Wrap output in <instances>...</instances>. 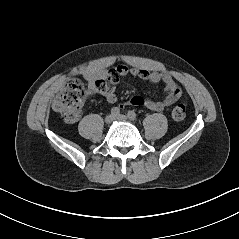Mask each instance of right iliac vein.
Wrapping results in <instances>:
<instances>
[{"label":"right iliac vein","mask_w":239,"mask_h":239,"mask_svg":"<svg viewBox=\"0 0 239 239\" xmlns=\"http://www.w3.org/2000/svg\"><path fill=\"white\" fill-rule=\"evenodd\" d=\"M113 119H114V115H112V114L107 115V116L105 117V122H106L107 124H110V123L113 121Z\"/></svg>","instance_id":"right-iliac-vein-1"}]
</instances>
